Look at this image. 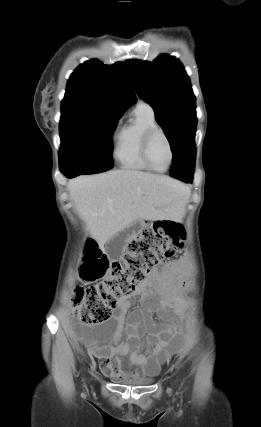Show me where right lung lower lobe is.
Masks as SVG:
<instances>
[{
	"label": "right lung lower lobe",
	"instance_id": "1",
	"mask_svg": "<svg viewBox=\"0 0 261 427\" xmlns=\"http://www.w3.org/2000/svg\"><path fill=\"white\" fill-rule=\"evenodd\" d=\"M64 175H65L66 177H68V178H73V177H75V176H77V175H80V173H77V172H69V173H64Z\"/></svg>",
	"mask_w": 261,
	"mask_h": 427
}]
</instances>
